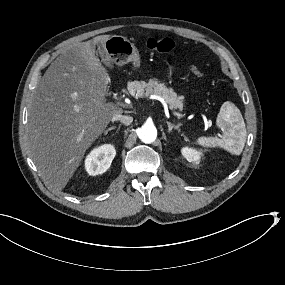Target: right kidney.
<instances>
[{
  "instance_id": "1",
  "label": "right kidney",
  "mask_w": 285,
  "mask_h": 285,
  "mask_svg": "<svg viewBox=\"0 0 285 285\" xmlns=\"http://www.w3.org/2000/svg\"><path fill=\"white\" fill-rule=\"evenodd\" d=\"M115 157V150L111 145H104L91 152L86 159V169L90 175L105 172Z\"/></svg>"
}]
</instances>
